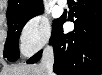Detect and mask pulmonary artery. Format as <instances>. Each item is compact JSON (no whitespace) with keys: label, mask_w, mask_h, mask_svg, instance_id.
Here are the masks:
<instances>
[{"label":"pulmonary artery","mask_w":102,"mask_h":75,"mask_svg":"<svg viewBox=\"0 0 102 75\" xmlns=\"http://www.w3.org/2000/svg\"><path fill=\"white\" fill-rule=\"evenodd\" d=\"M58 3H59L60 5H64V4L66 3V0H59Z\"/></svg>","instance_id":"1"}]
</instances>
